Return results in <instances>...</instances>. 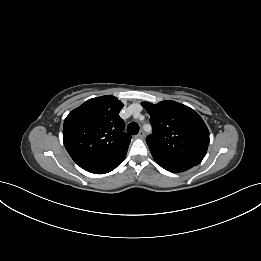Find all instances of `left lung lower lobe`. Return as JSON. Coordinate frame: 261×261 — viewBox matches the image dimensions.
I'll list each match as a JSON object with an SVG mask.
<instances>
[{
	"mask_svg": "<svg viewBox=\"0 0 261 261\" xmlns=\"http://www.w3.org/2000/svg\"><path fill=\"white\" fill-rule=\"evenodd\" d=\"M154 160L164 169L171 172H183L192 168L193 164L163 156L151 151Z\"/></svg>",
	"mask_w": 261,
	"mask_h": 261,
	"instance_id": "obj_1",
	"label": "left lung lower lobe"
}]
</instances>
